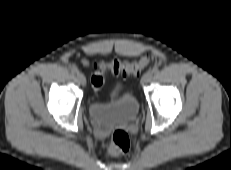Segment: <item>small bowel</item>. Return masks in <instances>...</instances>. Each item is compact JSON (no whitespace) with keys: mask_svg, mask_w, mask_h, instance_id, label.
<instances>
[{"mask_svg":"<svg viewBox=\"0 0 231 170\" xmlns=\"http://www.w3.org/2000/svg\"><path fill=\"white\" fill-rule=\"evenodd\" d=\"M82 62L84 65H86L88 63L86 60H83Z\"/></svg>","mask_w":231,"mask_h":170,"instance_id":"obj_1","label":"small bowel"}]
</instances>
